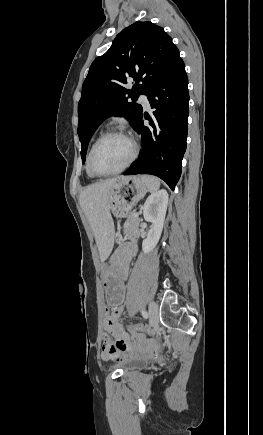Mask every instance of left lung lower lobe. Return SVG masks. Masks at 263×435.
I'll use <instances>...</instances> for the list:
<instances>
[{
	"label": "left lung lower lobe",
	"mask_w": 263,
	"mask_h": 435,
	"mask_svg": "<svg viewBox=\"0 0 263 435\" xmlns=\"http://www.w3.org/2000/svg\"><path fill=\"white\" fill-rule=\"evenodd\" d=\"M151 128L144 126L143 113L135 127L142 140L139 157L123 175L151 174L174 190L181 175L188 125V78L180 58L172 70L148 93Z\"/></svg>",
	"instance_id": "1"
}]
</instances>
